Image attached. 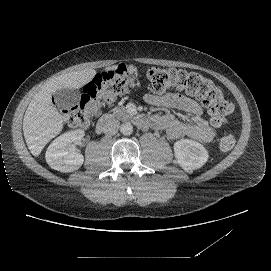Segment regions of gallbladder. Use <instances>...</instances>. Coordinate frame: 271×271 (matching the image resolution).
<instances>
[{
  "mask_svg": "<svg viewBox=\"0 0 271 271\" xmlns=\"http://www.w3.org/2000/svg\"><path fill=\"white\" fill-rule=\"evenodd\" d=\"M55 100L57 105L66 111L77 109L81 103V95L79 91L73 87H66L55 92Z\"/></svg>",
  "mask_w": 271,
  "mask_h": 271,
  "instance_id": "bac80fb5",
  "label": "gallbladder"
}]
</instances>
